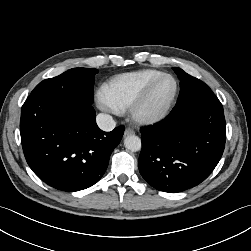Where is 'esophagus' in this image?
<instances>
[{"label": "esophagus", "instance_id": "esophagus-1", "mask_svg": "<svg viewBox=\"0 0 251 251\" xmlns=\"http://www.w3.org/2000/svg\"><path fill=\"white\" fill-rule=\"evenodd\" d=\"M135 132H134V130L133 129H131V128H127L126 130H125V132H124V136L126 137V136H130V135H133Z\"/></svg>", "mask_w": 251, "mask_h": 251}]
</instances>
